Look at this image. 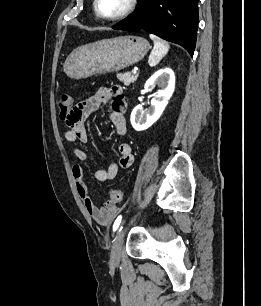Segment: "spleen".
<instances>
[{"label":"spleen","instance_id":"3e777b00","mask_svg":"<svg viewBox=\"0 0 261 306\" xmlns=\"http://www.w3.org/2000/svg\"><path fill=\"white\" fill-rule=\"evenodd\" d=\"M150 39L153 40L154 47L149 56L148 63L151 67L156 66L161 59L167 54L170 49V45L168 42L160 39L159 37L150 34Z\"/></svg>","mask_w":261,"mask_h":306}]
</instances>
